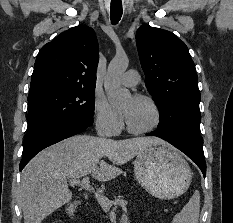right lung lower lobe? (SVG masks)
<instances>
[{
  "label": "right lung lower lobe",
  "instance_id": "98d812e1",
  "mask_svg": "<svg viewBox=\"0 0 233 223\" xmlns=\"http://www.w3.org/2000/svg\"><path fill=\"white\" fill-rule=\"evenodd\" d=\"M93 124V116L81 115L65 120L27 141L23 148V157L19 165L20 171L41 150L65 138L83 132Z\"/></svg>",
  "mask_w": 233,
  "mask_h": 223
}]
</instances>
